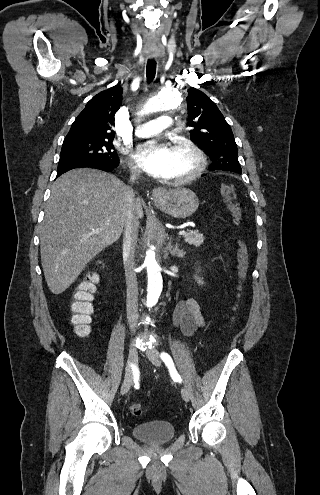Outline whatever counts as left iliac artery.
<instances>
[{
    "label": "left iliac artery",
    "mask_w": 320,
    "mask_h": 495,
    "mask_svg": "<svg viewBox=\"0 0 320 495\" xmlns=\"http://www.w3.org/2000/svg\"><path fill=\"white\" fill-rule=\"evenodd\" d=\"M161 359L163 360L165 365L168 367L172 378L178 382H181L182 379H181L180 375L178 374L177 370L175 369V366H174V363H173L171 356L166 352H162L161 353Z\"/></svg>",
    "instance_id": "left-iliac-artery-1"
}]
</instances>
